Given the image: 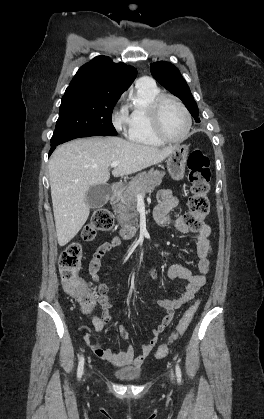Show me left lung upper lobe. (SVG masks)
I'll list each match as a JSON object with an SVG mask.
<instances>
[{
	"mask_svg": "<svg viewBox=\"0 0 264 419\" xmlns=\"http://www.w3.org/2000/svg\"><path fill=\"white\" fill-rule=\"evenodd\" d=\"M151 74L163 87L183 101L197 122L200 121L197 104L186 81L174 65L164 61L152 63Z\"/></svg>",
	"mask_w": 264,
	"mask_h": 419,
	"instance_id": "left-lung-upper-lobe-1",
	"label": "left lung upper lobe"
}]
</instances>
